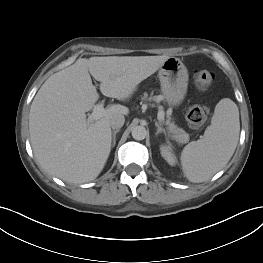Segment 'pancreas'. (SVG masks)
I'll return each mask as SVG.
<instances>
[{"label":"pancreas","instance_id":"cf45deb5","mask_svg":"<svg viewBox=\"0 0 263 263\" xmlns=\"http://www.w3.org/2000/svg\"><path fill=\"white\" fill-rule=\"evenodd\" d=\"M143 100H153L155 102H159L160 100H162V96H150L147 97V94H144ZM166 125H167V130L169 133H171L172 138L178 142L179 144H184L187 143L189 141V134L186 133L183 129L178 128L173 122L170 121V119H168L166 121Z\"/></svg>","mask_w":263,"mask_h":263}]
</instances>
